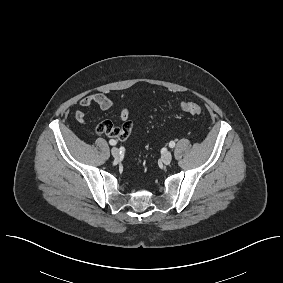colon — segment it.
I'll list each match as a JSON object with an SVG mask.
<instances>
[{"label":"colon","mask_w":283,"mask_h":283,"mask_svg":"<svg viewBox=\"0 0 283 283\" xmlns=\"http://www.w3.org/2000/svg\"><path fill=\"white\" fill-rule=\"evenodd\" d=\"M179 108L181 111L191 115H200L203 112L202 107L193 102H182L179 104ZM96 132L99 134L116 137L119 133V130L118 127L114 126L111 122L104 121L97 125Z\"/></svg>","instance_id":"1"}]
</instances>
